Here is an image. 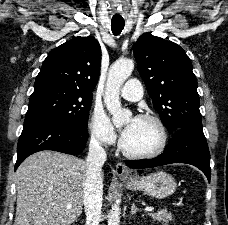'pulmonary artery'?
I'll return each mask as SVG.
<instances>
[{
    "mask_svg": "<svg viewBox=\"0 0 228 225\" xmlns=\"http://www.w3.org/2000/svg\"><path fill=\"white\" fill-rule=\"evenodd\" d=\"M142 85L140 81L135 79L132 81H127V85H123V90L121 91V96L129 101H137L141 98Z\"/></svg>",
    "mask_w": 228,
    "mask_h": 225,
    "instance_id": "pulmonary-artery-1",
    "label": "pulmonary artery"
}]
</instances>
